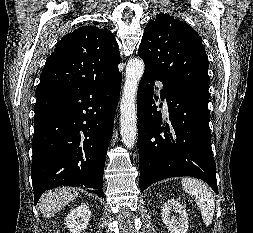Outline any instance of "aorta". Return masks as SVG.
I'll return each instance as SVG.
<instances>
[{
  "label": "aorta",
  "instance_id": "aorta-1",
  "mask_svg": "<svg viewBox=\"0 0 253 233\" xmlns=\"http://www.w3.org/2000/svg\"><path fill=\"white\" fill-rule=\"evenodd\" d=\"M143 73L142 59L134 58L128 61L120 104V134L128 149L134 147L137 138L136 94Z\"/></svg>",
  "mask_w": 253,
  "mask_h": 233
}]
</instances>
